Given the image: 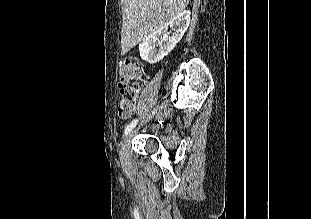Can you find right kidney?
Listing matches in <instances>:
<instances>
[{"label": "right kidney", "mask_w": 311, "mask_h": 219, "mask_svg": "<svg viewBox=\"0 0 311 219\" xmlns=\"http://www.w3.org/2000/svg\"><path fill=\"white\" fill-rule=\"evenodd\" d=\"M190 24V12L183 11L163 27L148 35L144 42L139 45L140 56L150 64L162 60L168 55L182 39ZM168 27L173 30L172 36H169ZM159 46V49H156Z\"/></svg>", "instance_id": "ca27d5eb"}]
</instances>
